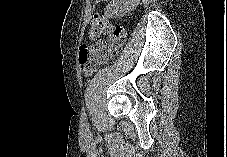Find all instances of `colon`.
Segmentation results:
<instances>
[{
	"label": "colon",
	"instance_id": "obj_1",
	"mask_svg": "<svg viewBox=\"0 0 227 157\" xmlns=\"http://www.w3.org/2000/svg\"><path fill=\"white\" fill-rule=\"evenodd\" d=\"M89 35L96 42L82 46L79 51V62L86 75H90L99 64L116 56L125 42L124 28L103 17L94 18Z\"/></svg>",
	"mask_w": 227,
	"mask_h": 157
}]
</instances>
